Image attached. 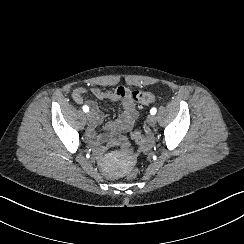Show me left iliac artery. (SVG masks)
I'll return each instance as SVG.
<instances>
[{"mask_svg": "<svg viewBox=\"0 0 244 244\" xmlns=\"http://www.w3.org/2000/svg\"><path fill=\"white\" fill-rule=\"evenodd\" d=\"M156 112H157V109H156L155 107H153V108L150 110V113H151L152 115H155Z\"/></svg>", "mask_w": 244, "mask_h": 244, "instance_id": "left-iliac-artery-1", "label": "left iliac artery"}]
</instances>
